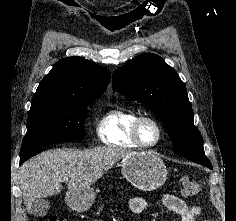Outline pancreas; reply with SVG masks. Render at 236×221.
<instances>
[{"instance_id":"cf45deb5","label":"pancreas","mask_w":236,"mask_h":221,"mask_svg":"<svg viewBox=\"0 0 236 221\" xmlns=\"http://www.w3.org/2000/svg\"><path fill=\"white\" fill-rule=\"evenodd\" d=\"M100 209H102V206L99 208V211H100Z\"/></svg>"}]
</instances>
